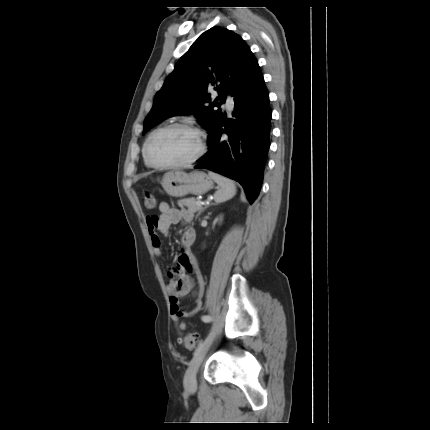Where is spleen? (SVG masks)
Wrapping results in <instances>:
<instances>
[{
	"label": "spleen",
	"instance_id": "1",
	"mask_svg": "<svg viewBox=\"0 0 430 430\" xmlns=\"http://www.w3.org/2000/svg\"><path fill=\"white\" fill-rule=\"evenodd\" d=\"M209 176L218 184L219 189L214 194L216 203L230 200L236 193V186L232 180L220 174L209 172Z\"/></svg>",
	"mask_w": 430,
	"mask_h": 430
}]
</instances>
